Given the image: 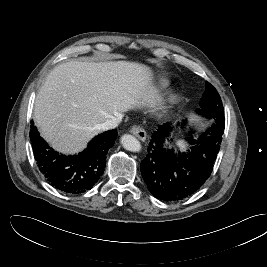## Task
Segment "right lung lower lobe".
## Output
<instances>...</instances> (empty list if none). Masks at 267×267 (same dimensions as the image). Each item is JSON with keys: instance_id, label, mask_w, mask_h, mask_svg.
Here are the masks:
<instances>
[{"instance_id": "98d812e1", "label": "right lung lower lobe", "mask_w": 267, "mask_h": 267, "mask_svg": "<svg viewBox=\"0 0 267 267\" xmlns=\"http://www.w3.org/2000/svg\"><path fill=\"white\" fill-rule=\"evenodd\" d=\"M30 139L39 170L60 191L79 194L90 190L104 172L106 154L114 145L116 130L96 136L87 148L74 156H64L48 147L31 122Z\"/></svg>"}]
</instances>
